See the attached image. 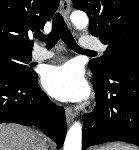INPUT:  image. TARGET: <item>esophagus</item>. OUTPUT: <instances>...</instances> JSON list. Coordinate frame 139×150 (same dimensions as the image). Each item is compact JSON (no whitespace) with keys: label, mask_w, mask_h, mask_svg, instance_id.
<instances>
[{"label":"esophagus","mask_w":139,"mask_h":150,"mask_svg":"<svg viewBox=\"0 0 139 150\" xmlns=\"http://www.w3.org/2000/svg\"><path fill=\"white\" fill-rule=\"evenodd\" d=\"M71 1L70 0H61L60 2V12L67 24H69V14L71 10ZM66 121L69 125L75 117V113L73 112L71 107H66Z\"/></svg>","instance_id":"34e87169"}]
</instances>
